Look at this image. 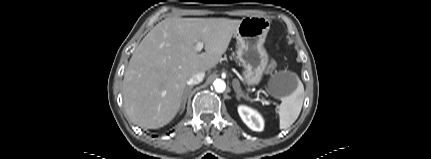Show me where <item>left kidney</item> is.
Wrapping results in <instances>:
<instances>
[{
  "label": "left kidney",
  "mask_w": 431,
  "mask_h": 159,
  "mask_svg": "<svg viewBox=\"0 0 431 159\" xmlns=\"http://www.w3.org/2000/svg\"><path fill=\"white\" fill-rule=\"evenodd\" d=\"M238 113L243 122L254 131H262L264 128V120L262 116L255 110L240 105L238 107Z\"/></svg>",
  "instance_id": "1"
}]
</instances>
